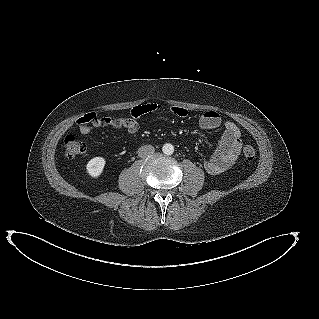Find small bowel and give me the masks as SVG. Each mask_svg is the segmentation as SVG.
I'll use <instances>...</instances> for the list:
<instances>
[{"mask_svg":"<svg viewBox=\"0 0 319 319\" xmlns=\"http://www.w3.org/2000/svg\"><path fill=\"white\" fill-rule=\"evenodd\" d=\"M160 106L155 103L137 105L130 111L129 116H106L98 117L94 114V119L87 124H79L80 133L89 134L94 128L113 127L125 129L129 134H134L139 129L138 119L144 115L157 112ZM170 112L179 117L188 116V110L181 106H172ZM223 124L224 132L219 145L212 157L205 163V169L211 174H220L229 170L236 162L242 142L241 132L238 126L231 122H222L220 115L215 111H207L199 118V126L204 130H214Z\"/></svg>","mask_w":319,"mask_h":319,"instance_id":"small-bowel-1","label":"small bowel"}]
</instances>
